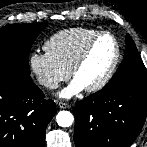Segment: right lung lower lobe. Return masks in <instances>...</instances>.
Returning <instances> with one entry per match:
<instances>
[{"mask_svg": "<svg viewBox=\"0 0 147 147\" xmlns=\"http://www.w3.org/2000/svg\"><path fill=\"white\" fill-rule=\"evenodd\" d=\"M30 76L0 69V147H43L47 124L56 114L53 100Z\"/></svg>", "mask_w": 147, "mask_h": 147, "instance_id": "obj_1", "label": "right lung lower lobe"}]
</instances>
